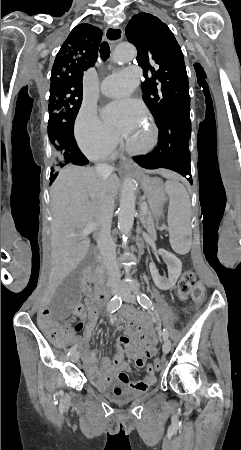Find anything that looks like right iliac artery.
I'll return each mask as SVG.
<instances>
[{"instance_id": "right-iliac-artery-1", "label": "right iliac artery", "mask_w": 241, "mask_h": 450, "mask_svg": "<svg viewBox=\"0 0 241 450\" xmlns=\"http://www.w3.org/2000/svg\"><path fill=\"white\" fill-rule=\"evenodd\" d=\"M121 304H122L121 296L116 295L108 303L107 309L109 312L113 313L120 308ZM76 349H77L76 346L71 347L68 352V355L69 356L72 355L76 351ZM60 393L62 392L60 391Z\"/></svg>"}]
</instances>
